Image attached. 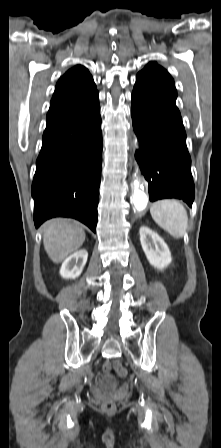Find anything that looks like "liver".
Wrapping results in <instances>:
<instances>
[{"label": "liver", "mask_w": 221, "mask_h": 448, "mask_svg": "<svg viewBox=\"0 0 221 448\" xmlns=\"http://www.w3.org/2000/svg\"><path fill=\"white\" fill-rule=\"evenodd\" d=\"M43 244L54 263H60L77 251L85 241V232L69 219H51L42 226Z\"/></svg>", "instance_id": "obj_1"}]
</instances>
